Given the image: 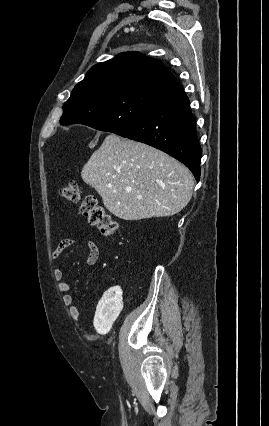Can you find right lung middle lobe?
I'll return each instance as SVG.
<instances>
[{
	"label": "right lung middle lobe",
	"mask_w": 269,
	"mask_h": 426,
	"mask_svg": "<svg viewBox=\"0 0 269 426\" xmlns=\"http://www.w3.org/2000/svg\"><path fill=\"white\" fill-rule=\"evenodd\" d=\"M160 92L118 90L84 96L71 94L63 106L62 125L84 124L100 131L116 132L144 116Z\"/></svg>",
	"instance_id": "1"
}]
</instances>
